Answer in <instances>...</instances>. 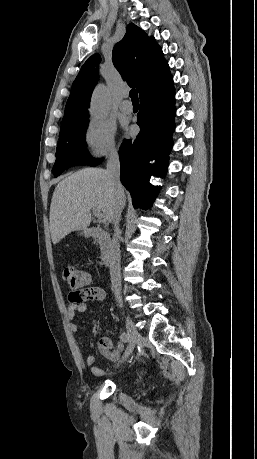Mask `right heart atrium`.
<instances>
[{"instance_id":"d8ad5b80","label":"right heart atrium","mask_w":257,"mask_h":459,"mask_svg":"<svg viewBox=\"0 0 257 459\" xmlns=\"http://www.w3.org/2000/svg\"><path fill=\"white\" fill-rule=\"evenodd\" d=\"M83 139L92 159L98 160L117 154L116 128L106 120H90L84 130Z\"/></svg>"}]
</instances>
